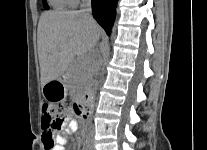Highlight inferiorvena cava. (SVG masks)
Returning <instances> with one entry per match:
<instances>
[{
	"label": "inferior vena cava",
	"instance_id": "inferior-vena-cava-1",
	"mask_svg": "<svg viewBox=\"0 0 207 150\" xmlns=\"http://www.w3.org/2000/svg\"><path fill=\"white\" fill-rule=\"evenodd\" d=\"M80 12L85 14L87 17L92 18L91 0H82Z\"/></svg>",
	"mask_w": 207,
	"mask_h": 150
}]
</instances>
